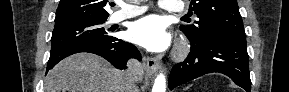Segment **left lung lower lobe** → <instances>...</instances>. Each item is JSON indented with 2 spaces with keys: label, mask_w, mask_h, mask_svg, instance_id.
Returning a JSON list of instances; mask_svg holds the SVG:
<instances>
[{
  "label": "left lung lower lobe",
  "mask_w": 289,
  "mask_h": 92,
  "mask_svg": "<svg viewBox=\"0 0 289 92\" xmlns=\"http://www.w3.org/2000/svg\"><path fill=\"white\" fill-rule=\"evenodd\" d=\"M245 36L231 33L213 34L200 44L191 43L186 60L176 64L169 77V89L205 73L219 72L229 76L246 92L251 91L249 57Z\"/></svg>",
  "instance_id": "left-lung-lower-lobe-1"
}]
</instances>
